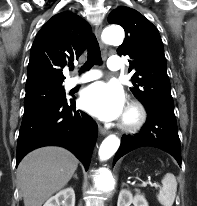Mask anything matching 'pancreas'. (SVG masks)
<instances>
[{
    "label": "pancreas",
    "mask_w": 197,
    "mask_h": 206,
    "mask_svg": "<svg viewBox=\"0 0 197 206\" xmlns=\"http://www.w3.org/2000/svg\"><path fill=\"white\" fill-rule=\"evenodd\" d=\"M135 191H136V192H140V190H138V189H136Z\"/></svg>",
    "instance_id": "pancreas-1"
}]
</instances>
